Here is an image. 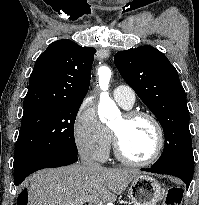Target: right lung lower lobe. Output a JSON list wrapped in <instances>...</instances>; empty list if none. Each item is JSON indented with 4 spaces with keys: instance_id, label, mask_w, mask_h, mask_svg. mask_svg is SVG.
I'll use <instances>...</instances> for the list:
<instances>
[{
    "instance_id": "98d812e1",
    "label": "right lung lower lobe",
    "mask_w": 199,
    "mask_h": 205,
    "mask_svg": "<svg viewBox=\"0 0 199 205\" xmlns=\"http://www.w3.org/2000/svg\"><path fill=\"white\" fill-rule=\"evenodd\" d=\"M77 160V156L56 152L37 156L14 168V184L18 186L28 175L37 170L66 166Z\"/></svg>"
}]
</instances>
